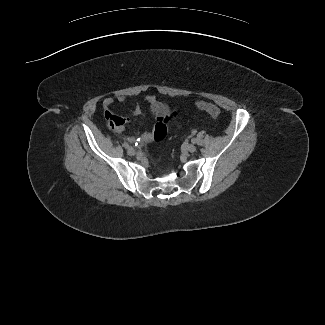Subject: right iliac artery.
<instances>
[{
	"instance_id": "obj_1",
	"label": "right iliac artery",
	"mask_w": 325,
	"mask_h": 325,
	"mask_svg": "<svg viewBox=\"0 0 325 325\" xmlns=\"http://www.w3.org/2000/svg\"><path fill=\"white\" fill-rule=\"evenodd\" d=\"M128 146H129L128 143H126V142L123 143V147L128 148Z\"/></svg>"
}]
</instances>
